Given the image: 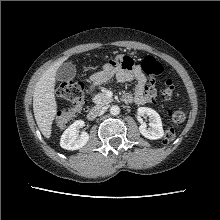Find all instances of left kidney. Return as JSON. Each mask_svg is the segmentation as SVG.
<instances>
[{"mask_svg": "<svg viewBox=\"0 0 220 220\" xmlns=\"http://www.w3.org/2000/svg\"><path fill=\"white\" fill-rule=\"evenodd\" d=\"M137 113L139 116L147 115L149 117L150 128H147L146 123H141L139 126V131L145 138L156 140L163 137L162 121L160 115L155 110L148 107H140Z\"/></svg>", "mask_w": 220, "mask_h": 220, "instance_id": "1", "label": "left kidney"}]
</instances>
